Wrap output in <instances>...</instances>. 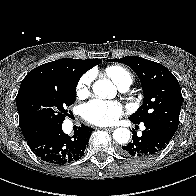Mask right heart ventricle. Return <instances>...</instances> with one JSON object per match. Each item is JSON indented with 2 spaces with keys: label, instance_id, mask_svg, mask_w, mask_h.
<instances>
[{
  "label": "right heart ventricle",
  "instance_id": "obj_1",
  "mask_svg": "<svg viewBox=\"0 0 196 196\" xmlns=\"http://www.w3.org/2000/svg\"><path fill=\"white\" fill-rule=\"evenodd\" d=\"M106 74L117 84L119 87L124 84H131L132 76L130 72L117 65L109 66L106 69Z\"/></svg>",
  "mask_w": 196,
  "mask_h": 196
}]
</instances>
